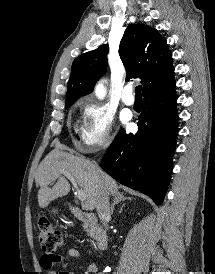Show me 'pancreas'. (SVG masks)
Instances as JSON below:
<instances>
[{
    "label": "pancreas",
    "instance_id": "1",
    "mask_svg": "<svg viewBox=\"0 0 215 274\" xmlns=\"http://www.w3.org/2000/svg\"><path fill=\"white\" fill-rule=\"evenodd\" d=\"M84 228H85L86 231L89 233V235L92 236L91 228H90V225H89L88 223H85V224H84Z\"/></svg>",
    "mask_w": 215,
    "mask_h": 274
}]
</instances>
